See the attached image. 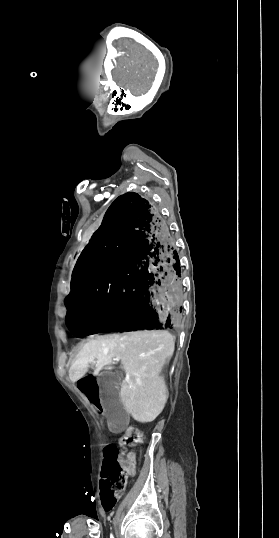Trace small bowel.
<instances>
[{"label": "small bowel", "mask_w": 279, "mask_h": 538, "mask_svg": "<svg viewBox=\"0 0 279 538\" xmlns=\"http://www.w3.org/2000/svg\"><path fill=\"white\" fill-rule=\"evenodd\" d=\"M124 469L133 475L136 468V454L135 452H128L125 457L120 460Z\"/></svg>", "instance_id": "small-bowel-1"}]
</instances>
